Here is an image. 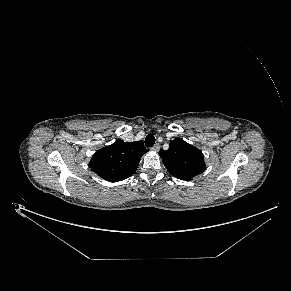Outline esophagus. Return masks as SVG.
<instances>
[{"instance_id":"esophagus-1","label":"esophagus","mask_w":291,"mask_h":291,"mask_svg":"<svg viewBox=\"0 0 291 291\" xmlns=\"http://www.w3.org/2000/svg\"><path fill=\"white\" fill-rule=\"evenodd\" d=\"M151 150H153V151H155V152L159 151V150H160V145H159V144H155V145L151 148Z\"/></svg>"}]
</instances>
